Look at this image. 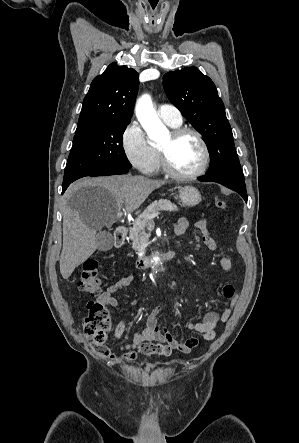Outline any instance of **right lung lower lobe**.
<instances>
[{"mask_svg": "<svg viewBox=\"0 0 299 443\" xmlns=\"http://www.w3.org/2000/svg\"><path fill=\"white\" fill-rule=\"evenodd\" d=\"M128 169L126 167H113V168H107L100 171H97L89 176H103V175H116V174H126L128 173ZM69 184H63L62 185V194L67 189Z\"/></svg>", "mask_w": 299, "mask_h": 443, "instance_id": "1", "label": "right lung lower lobe"}]
</instances>
